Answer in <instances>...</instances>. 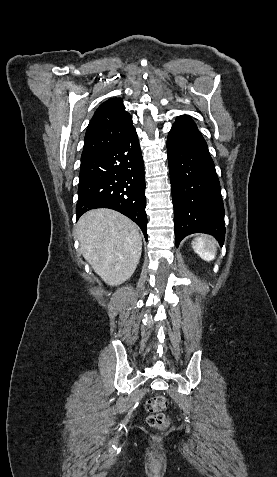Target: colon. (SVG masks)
I'll list each match as a JSON object with an SVG mask.
<instances>
[{
    "instance_id": "obj_1",
    "label": "colon",
    "mask_w": 277,
    "mask_h": 477,
    "mask_svg": "<svg viewBox=\"0 0 277 477\" xmlns=\"http://www.w3.org/2000/svg\"><path fill=\"white\" fill-rule=\"evenodd\" d=\"M168 406V401L164 396L158 395L146 401L145 410L148 413L147 423L155 429H165L169 425V420L164 411Z\"/></svg>"
}]
</instances>
